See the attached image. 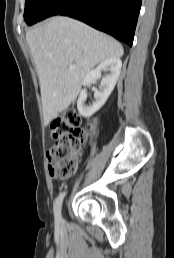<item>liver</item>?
<instances>
[{
	"label": "liver",
	"mask_w": 174,
	"mask_h": 258,
	"mask_svg": "<svg viewBox=\"0 0 174 258\" xmlns=\"http://www.w3.org/2000/svg\"><path fill=\"white\" fill-rule=\"evenodd\" d=\"M26 40L39 77L46 124L76 99L94 66L124 53L113 38L63 16L28 31ZM70 65L76 69L70 70Z\"/></svg>",
	"instance_id": "obj_1"
}]
</instances>
